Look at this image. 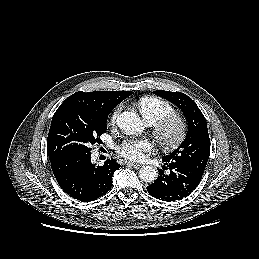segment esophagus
Instances as JSON below:
<instances>
[{
	"instance_id": "esophagus-1",
	"label": "esophagus",
	"mask_w": 259,
	"mask_h": 259,
	"mask_svg": "<svg viewBox=\"0 0 259 259\" xmlns=\"http://www.w3.org/2000/svg\"><path fill=\"white\" fill-rule=\"evenodd\" d=\"M125 163L134 167V168H140L141 167V164L133 163V162H130V161H125Z\"/></svg>"
}]
</instances>
